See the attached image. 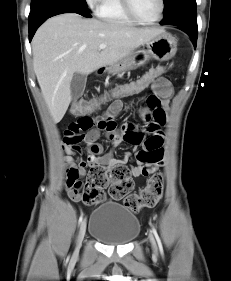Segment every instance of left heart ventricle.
<instances>
[{"instance_id": "b2bd125f", "label": "left heart ventricle", "mask_w": 231, "mask_h": 281, "mask_svg": "<svg viewBox=\"0 0 231 281\" xmlns=\"http://www.w3.org/2000/svg\"><path fill=\"white\" fill-rule=\"evenodd\" d=\"M136 14L144 20L156 18L160 10L159 0H131Z\"/></svg>"}]
</instances>
